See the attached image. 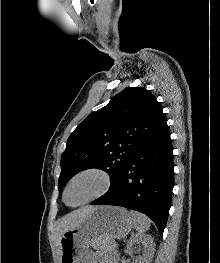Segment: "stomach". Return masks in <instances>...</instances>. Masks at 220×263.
I'll list each match as a JSON object with an SVG mask.
<instances>
[{
  "label": "stomach",
  "instance_id": "0dacf381",
  "mask_svg": "<svg viewBox=\"0 0 220 263\" xmlns=\"http://www.w3.org/2000/svg\"><path fill=\"white\" fill-rule=\"evenodd\" d=\"M134 226L130 212L117 206H100L78 225L63 233L60 262L80 263L90 245L108 249L114 239L126 236Z\"/></svg>",
  "mask_w": 220,
  "mask_h": 263
}]
</instances>
